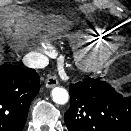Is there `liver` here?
<instances>
[{
    "label": "liver",
    "instance_id": "obj_1",
    "mask_svg": "<svg viewBox=\"0 0 131 131\" xmlns=\"http://www.w3.org/2000/svg\"><path fill=\"white\" fill-rule=\"evenodd\" d=\"M39 19L22 11H14L0 20V28L12 37H26L37 28Z\"/></svg>",
    "mask_w": 131,
    "mask_h": 131
}]
</instances>
